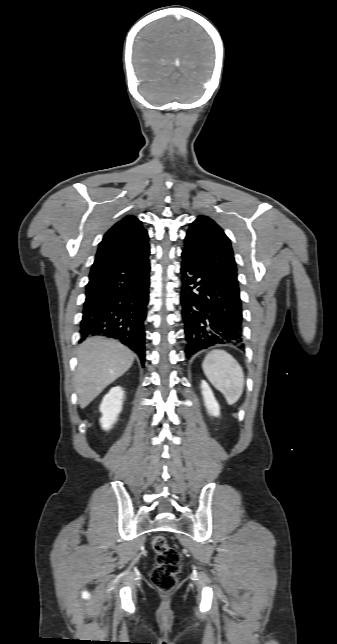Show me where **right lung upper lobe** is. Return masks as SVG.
Wrapping results in <instances>:
<instances>
[{"label": "right lung upper lobe", "mask_w": 337, "mask_h": 644, "mask_svg": "<svg viewBox=\"0 0 337 644\" xmlns=\"http://www.w3.org/2000/svg\"><path fill=\"white\" fill-rule=\"evenodd\" d=\"M148 234L135 216L117 222L104 236L89 278L127 263H138L149 255Z\"/></svg>", "instance_id": "cb5924a9"}]
</instances>
